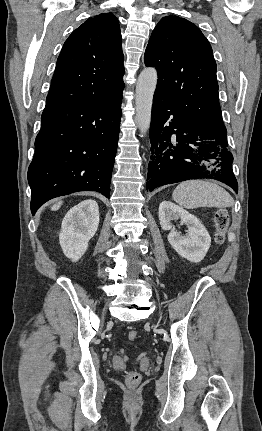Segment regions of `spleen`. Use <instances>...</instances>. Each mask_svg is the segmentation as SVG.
I'll return each instance as SVG.
<instances>
[{
    "instance_id": "spleen-1",
    "label": "spleen",
    "mask_w": 262,
    "mask_h": 431,
    "mask_svg": "<svg viewBox=\"0 0 262 431\" xmlns=\"http://www.w3.org/2000/svg\"><path fill=\"white\" fill-rule=\"evenodd\" d=\"M173 200L187 209L197 207L227 208L234 204L232 196L219 185L204 180L180 183L172 194Z\"/></svg>"
}]
</instances>
